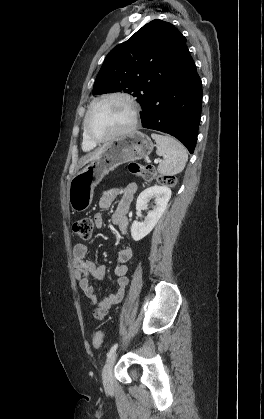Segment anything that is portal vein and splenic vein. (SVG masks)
Returning <instances> with one entry per match:
<instances>
[{
  "label": "portal vein and splenic vein",
  "mask_w": 264,
  "mask_h": 419,
  "mask_svg": "<svg viewBox=\"0 0 264 419\" xmlns=\"http://www.w3.org/2000/svg\"><path fill=\"white\" fill-rule=\"evenodd\" d=\"M159 162H160V160H159V159H155V160H154V163H155V164H158Z\"/></svg>",
  "instance_id": "portal-vein-and-splenic-vein-1"
}]
</instances>
